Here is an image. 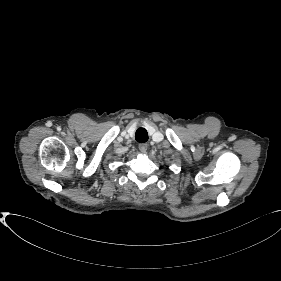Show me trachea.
Listing matches in <instances>:
<instances>
[{
	"mask_svg": "<svg viewBox=\"0 0 281 281\" xmlns=\"http://www.w3.org/2000/svg\"><path fill=\"white\" fill-rule=\"evenodd\" d=\"M136 141L144 143L148 140V132L145 128H138L135 134Z\"/></svg>",
	"mask_w": 281,
	"mask_h": 281,
	"instance_id": "1",
	"label": "trachea"
}]
</instances>
